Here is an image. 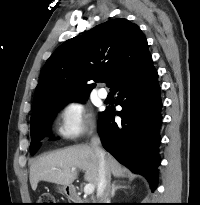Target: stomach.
I'll return each instance as SVG.
<instances>
[{"instance_id":"1","label":"stomach","mask_w":200,"mask_h":205,"mask_svg":"<svg viewBox=\"0 0 200 205\" xmlns=\"http://www.w3.org/2000/svg\"><path fill=\"white\" fill-rule=\"evenodd\" d=\"M59 192L64 193V194H67V193H68V188H67V186L60 187V188H59Z\"/></svg>"}]
</instances>
